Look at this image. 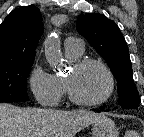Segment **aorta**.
<instances>
[{
	"instance_id": "obj_1",
	"label": "aorta",
	"mask_w": 144,
	"mask_h": 137,
	"mask_svg": "<svg viewBox=\"0 0 144 137\" xmlns=\"http://www.w3.org/2000/svg\"><path fill=\"white\" fill-rule=\"evenodd\" d=\"M45 57L50 66H60L62 54L60 50V40L56 36L47 38L44 42Z\"/></svg>"
}]
</instances>
